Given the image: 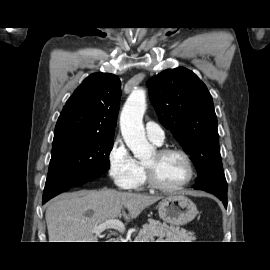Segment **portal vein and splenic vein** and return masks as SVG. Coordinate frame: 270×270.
<instances>
[{"instance_id":"1","label":"portal vein and splenic vein","mask_w":270,"mask_h":270,"mask_svg":"<svg viewBox=\"0 0 270 270\" xmlns=\"http://www.w3.org/2000/svg\"><path fill=\"white\" fill-rule=\"evenodd\" d=\"M106 229H115V230H118L120 232H124L125 226L120 220L111 219V220H107V221L99 224L98 226H96L93 229V231L97 234H100L101 232H103Z\"/></svg>"}]
</instances>
